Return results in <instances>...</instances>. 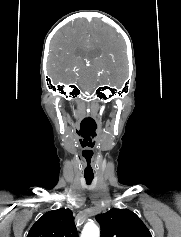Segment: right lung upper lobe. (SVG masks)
<instances>
[{
	"label": "right lung upper lobe",
	"instance_id": "cb5924a9",
	"mask_svg": "<svg viewBox=\"0 0 181 237\" xmlns=\"http://www.w3.org/2000/svg\"><path fill=\"white\" fill-rule=\"evenodd\" d=\"M27 237H78L71 210L60 208L45 213Z\"/></svg>",
	"mask_w": 181,
	"mask_h": 237
}]
</instances>
